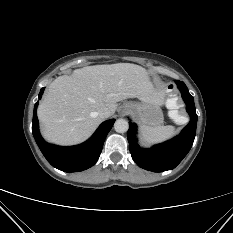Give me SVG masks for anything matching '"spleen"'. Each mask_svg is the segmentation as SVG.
I'll list each match as a JSON object with an SVG mask.
<instances>
[{
	"mask_svg": "<svg viewBox=\"0 0 233 233\" xmlns=\"http://www.w3.org/2000/svg\"><path fill=\"white\" fill-rule=\"evenodd\" d=\"M173 101L168 102V106H172ZM169 117L173 119L176 123H184L185 118L181 116L177 110H170ZM143 140L147 144H156L163 141H166L173 137L176 133V130L173 126H155L148 127L142 126L140 129Z\"/></svg>",
	"mask_w": 233,
	"mask_h": 233,
	"instance_id": "1",
	"label": "spleen"
}]
</instances>
